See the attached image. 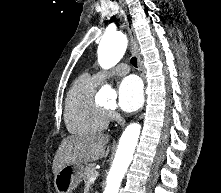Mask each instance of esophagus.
<instances>
[{
    "label": "esophagus",
    "mask_w": 221,
    "mask_h": 193,
    "mask_svg": "<svg viewBox=\"0 0 221 193\" xmlns=\"http://www.w3.org/2000/svg\"><path fill=\"white\" fill-rule=\"evenodd\" d=\"M120 3L124 6V4L121 1H120ZM126 26H127L129 36H130L131 51L137 57L139 71H140L141 76L143 77V79H145L144 72H143V67H142L141 56H140L139 48H138V42H137V39H136V34H135V31H134L133 25L129 20H126Z\"/></svg>",
    "instance_id": "1"
}]
</instances>
